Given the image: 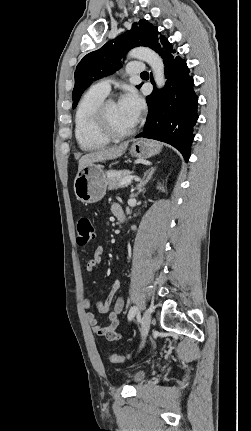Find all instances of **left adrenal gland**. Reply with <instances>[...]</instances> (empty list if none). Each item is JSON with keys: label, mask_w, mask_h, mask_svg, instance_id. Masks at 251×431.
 Segmentation results:
<instances>
[{"label": "left adrenal gland", "mask_w": 251, "mask_h": 431, "mask_svg": "<svg viewBox=\"0 0 251 431\" xmlns=\"http://www.w3.org/2000/svg\"><path fill=\"white\" fill-rule=\"evenodd\" d=\"M156 167H151L150 169H148L145 173L144 176L142 178V180L138 183L137 185V189L139 190V192L142 190V188L146 185V183L151 179L154 171H155Z\"/></svg>", "instance_id": "1"}]
</instances>
